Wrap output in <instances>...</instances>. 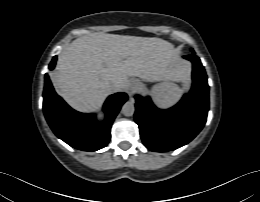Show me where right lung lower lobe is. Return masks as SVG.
<instances>
[{"mask_svg":"<svg viewBox=\"0 0 260 202\" xmlns=\"http://www.w3.org/2000/svg\"><path fill=\"white\" fill-rule=\"evenodd\" d=\"M53 57L49 69L56 64ZM126 93H116L108 97L103 111L105 120L99 122L95 114H84L73 110L53 89L49 76L45 75L43 111L55 135L71 147L83 151H96L105 147L111 138V126L121 106L126 102Z\"/></svg>","mask_w":260,"mask_h":202,"instance_id":"obj_1","label":"right lung lower lobe"}]
</instances>
